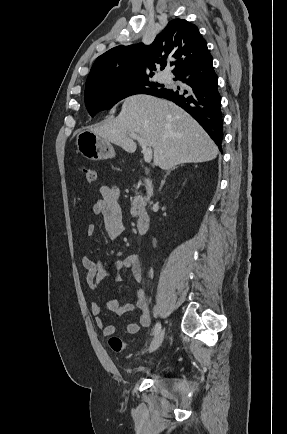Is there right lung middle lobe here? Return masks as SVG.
I'll return each instance as SVG.
<instances>
[{
  "label": "right lung middle lobe",
  "instance_id": "right-lung-middle-lobe-1",
  "mask_svg": "<svg viewBox=\"0 0 287 434\" xmlns=\"http://www.w3.org/2000/svg\"><path fill=\"white\" fill-rule=\"evenodd\" d=\"M162 88L163 85L150 82L148 76L93 82L85 86V105L90 115L94 116L130 95L151 94Z\"/></svg>",
  "mask_w": 287,
  "mask_h": 434
}]
</instances>
